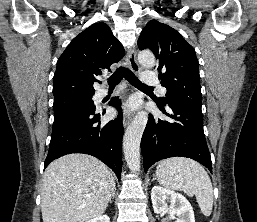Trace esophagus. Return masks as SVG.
Returning <instances> with one entry per match:
<instances>
[{
    "label": "esophagus",
    "instance_id": "1",
    "mask_svg": "<svg viewBox=\"0 0 257 222\" xmlns=\"http://www.w3.org/2000/svg\"><path fill=\"white\" fill-rule=\"evenodd\" d=\"M127 61H128V64L131 68V70L135 73H139L140 72V66L137 62V59H136V50L135 48H132L128 51V54H127ZM132 119V114L127 112L125 113L124 115V118H123V125L124 127H126L129 122L131 121Z\"/></svg>",
    "mask_w": 257,
    "mask_h": 222
}]
</instances>
